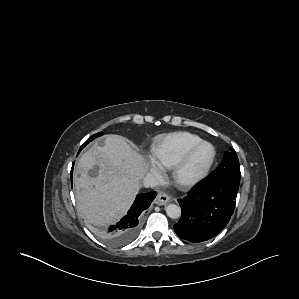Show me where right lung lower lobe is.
I'll use <instances>...</instances> for the list:
<instances>
[{
  "label": "right lung lower lobe",
  "mask_w": 299,
  "mask_h": 299,
  "mask_svg": "<svg viewBox=\"0 0 299 299\" xmlns=\"http://www.w3.org/2000/svg\"><path fill=\"white\" fill-rule=\"evenodd\" d=\"M156 194L157 193L153 191L137 195L127 215L123 217L116 226H111L109 230L103 234L104 239L113 245H121L131 241L140 227L143 214L147 211L151 202L156 197Z\"/></svg>",
  "instance_id": "1"
}]
</instances>
